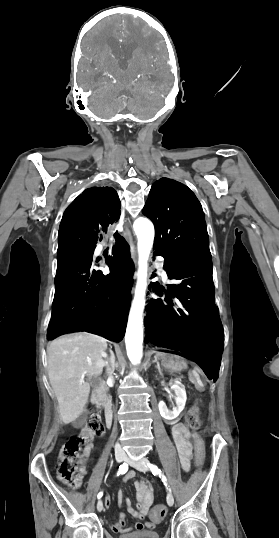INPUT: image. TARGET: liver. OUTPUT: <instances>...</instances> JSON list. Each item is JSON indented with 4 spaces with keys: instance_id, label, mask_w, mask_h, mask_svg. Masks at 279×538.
Segmentation results:
<instances>
[{
    "instance_id": "1",
    "label": "liver",
    "mask_w": 279,
    "mask_h": 538,
    "mask_svg": "<svg viewBox=\"0 0 279 538\" xmlns=\"http://www.w3.org/2000/svg\"><path fill=\"white\" fill-rule=\"evenodd\" d=\"M107 342L100 336L78 332L60 336L47 348L49 382L64 424L82 414L90 394L87 378L102 374Z\"/></svg>"
}]
</instances>
